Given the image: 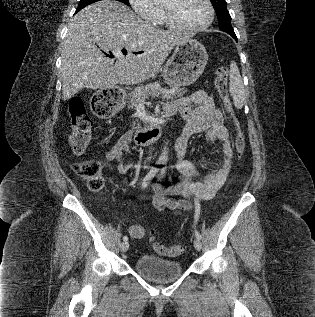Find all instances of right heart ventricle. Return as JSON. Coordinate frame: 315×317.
<instances>
[{
    "mask_svg": "<svg viewBox=\"0 0 315 317\" xmlns=\"http://www.w3.org/2000/svg\"><path fill=\"white\" fill-rule=\"evenodd\" d=\"M156 23L160 24V25H163V24H166V19H165V16H164V13H163V10H160L159 11V14H158V17L157 19L155 20Z\"/></svg>",
    "mask_w": 315,
    "mask_h": 317,
    "instance_id": "1",
    "label": "right heart ventricle"
}]
</instances>
